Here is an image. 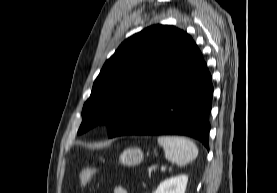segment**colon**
I'll return each instance as SVG.
<instances>
[{
  "instance_id": "obj_1",
  "label": "colon",
  "mask_w": 277,
  "mask_h": 193,
  "mask_svg": "<svg viewBox=\"0 0 277 193\" xmlns=\"http://www.w3.org/2000/svg\"><path fill=\"white\" fill-rule=\"evenodd\" d=\"M96 176V171L93 169H83L80 173V185L86 186L91 183Z\"/></svg>"
}]
</instances>
